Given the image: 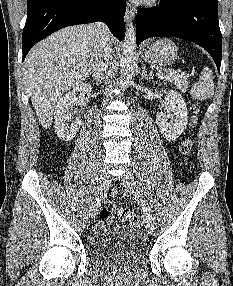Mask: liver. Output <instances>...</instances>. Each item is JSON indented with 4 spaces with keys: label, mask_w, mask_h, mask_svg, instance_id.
<instances>
[{
    "label": "liver",
    "mask_w": 233,
    "mask_h": 286,
    "mask_svg": "<svg viewBox=\"0 0 233 286\" xmlns=\"http://www.w3.org/2000/svg\"><path fill=\"white\" fill-rule=\"evenodd\" d=\"M99 30L77 25L57 31L28 53L24 81L40 124L48 129L62 94L84 81L92 70ZM111 44L115 42L110 38Z\"/></svg>",
    "instance_id": "1"
}]
</instances>
